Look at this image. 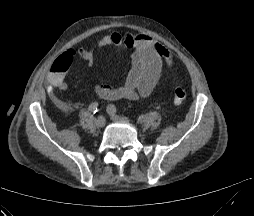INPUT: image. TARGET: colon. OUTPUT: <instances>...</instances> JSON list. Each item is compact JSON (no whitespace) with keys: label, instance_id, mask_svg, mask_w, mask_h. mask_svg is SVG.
I'll use <instances>...</instances> for the list:
<instances>
[{"label":"colon","instance_id":"obj_1","mask_svg":"<svg viewBox=\"0 0 254 216\" xmlns=\"http://www.w3.org/2000/svg\"><path fill=\"white\" fill-rule=\"evenodd\" d=\"M69 66H67L66 64H64L60 58L58 60H56L52 67H51V71H55V72H64L67 70ZM186 90L183 86L179 85L174 89L173 92V100L176 104H181L184 102V100L186 99Z\"/></svg>","mask_w":254,"mask_h":216}]
</instances>
